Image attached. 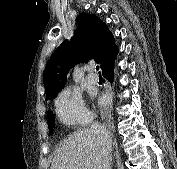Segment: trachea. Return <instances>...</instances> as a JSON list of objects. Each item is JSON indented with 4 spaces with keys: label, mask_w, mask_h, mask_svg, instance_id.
<instances>
[{
    "label": "trachea",
    "mask_w": 177,
    "mask_h": 169,
    "mask_svg": "<svg viewBox=\"0 0 177 169\" xmlns=\"http://www.w3.org/2000/svg\"><path fill=\"white\" fill-rule=\"evenodd\" d=\"M96 70L99 71V66H96Z\"/></svg>",
    "instance_id": "1"
}]
</instances>
